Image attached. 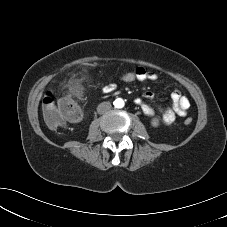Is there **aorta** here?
Returning <instances> with one entry per match:
<instances>
[{"mask_svg":"<svg viewBox=\"0 0 227 227\" xmlns=\"http://www.w3.org/2000/svg\"><path fill=\"white\" fill-rule=\"evenodd\" d=\"M124 100L123 99H121V98H117L115 101H114V106L116 107V108H122V107H124Z\"/></svg>","mask_w":227,"mask_h":227,"instance_id":"762f6f07","label":"aorta"}]
</instances>
